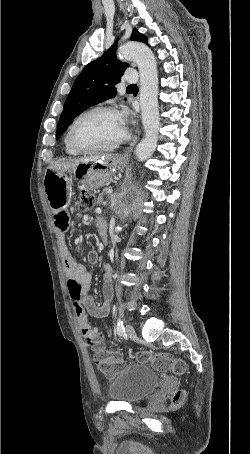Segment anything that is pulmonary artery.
Segmentation results:
<instances>
[{
    "label": "pulmonary artery",
    "mask_w": 250,
    "mask_h": 454,
    "mask_svg": "<svg viewBox=\"0 0 250 454\" xmlns=\"http://www.w3.org/2000/svg\"><path fill=\"white\" fill-rule=\"evenodd\" d=\"M124 79L127 83H136L138 81V74L135 71L129 70Z\"/></svg>",
    "instance_id": "obj_1"
}]
</instances>
